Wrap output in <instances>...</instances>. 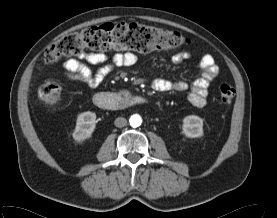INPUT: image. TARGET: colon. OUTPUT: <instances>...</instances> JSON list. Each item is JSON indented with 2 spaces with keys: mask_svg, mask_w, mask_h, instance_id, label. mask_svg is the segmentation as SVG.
Segmentation results:
<instances>
[{
  "mask_svg": "<svg viewBox=\"0 0 277 218\" xmlns=\"http://www.w3.org/2000/svg\"><path fill=\"white\" fill-rule=\"evenodd\" d=\"M188 45V39L179 32L134 23H105L78 32L70 33L44 52L43 60L47 64L68 57L77 56L86 50H129L139 53L168 51ZM42 104L54 109L61 98V87L55 82H45L39 88ZM235 89L229 84L219 86V98L223 104L230 103Z\"/></svg>",
  "mask_w": 277,
  "mask_h": 218,
  "instance_id": "5ec220e1",
  "label": "colon"
}]
</instances>
